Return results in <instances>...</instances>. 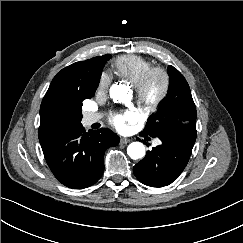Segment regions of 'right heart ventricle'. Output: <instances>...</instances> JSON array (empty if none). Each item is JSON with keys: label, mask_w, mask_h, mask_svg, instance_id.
Instances as JSON below:
<instances>
[{"label": "right heart ventricle", "mask_w": 243, "mask_h": 243, "mask_svg": "<svg viewBox=\"0 0 243 243\" xmlns=\"http://www.w3.org/2000/svg\"><path fill=\"white\" fill-rule=\"evenodd\" d=\"M153 67V63L141 56L122 55L112 63V69L119 77L135 86L142 76Z\"/></svg>", "instance_id": "obj_1"}]
</instances>
